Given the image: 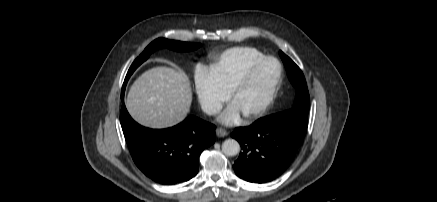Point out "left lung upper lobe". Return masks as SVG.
Masks as SVG:
<instances>
[{"mask_svg": "<svg viewBox=\"0 0 437 202\" xmlns=\"http://www.w3.org/2000/svg\"><path fill=\"white\" fill-rule=\"evenodd\" d=\"M279 54L285 65L288 78L296 89L295 103L290 109H297L308 114L310 97L305 77L300 68L287 55H285L282 51H279Z\"/></svg>", "mask_w": 437, "mask_h": 202, "instance_id": "obj_1", "label": "left lung upper lobe"}]
</instances>
